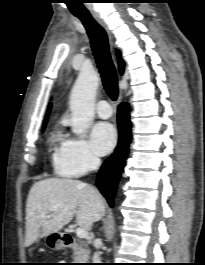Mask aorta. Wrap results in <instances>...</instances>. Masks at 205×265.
I'll use <instances>...</instances> for the list:
<instances>
[{
	"instance_id": "762f6f07",
	"label": "aorta",
	"mask_w": 205,
	"mask_h": 265,
	"mask_svg": "<svg viewBox=\"0 0 205 265\" xmlns=\"http://www.w3.org/2000/svg\"><path fill=\"white\" fill-rule=\"evenodd\" d=\"M99 76L93 69L83 68L70 96L71 126L75 134H82L94 118V103Z\"/></svg>"
}]
</instances>
